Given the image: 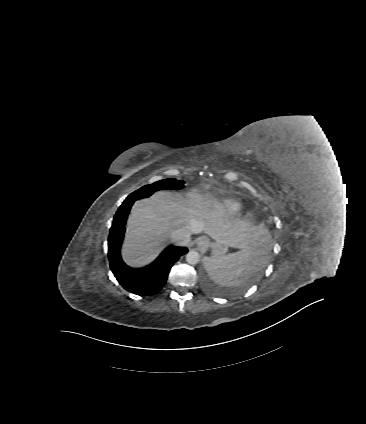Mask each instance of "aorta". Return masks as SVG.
Listing matches in <instances>:
<instances>
[{
	"instance_id": "aorta-1",
	"label": "aorta",
	"mask_w": 366,
	"mask_h": 424,
	"mask_svg": "<svg viewBox=\"0 0 366 424\" xmlns=\"http://www.w3.org/2000/svg\"><path fill=\"white\" fill-rule=\"evenodd\" d=\"M186 261L190 265H196L200 261V254L197 251L191 250L186 254Z\"/></svg>"
}]
</instances>
